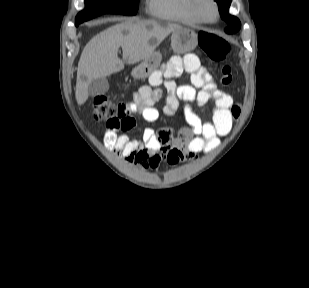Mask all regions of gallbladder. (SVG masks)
<instances>
[{
    "mask_svg": "<svg viewBox=\"0 0 309 288\" xmlns=\"http://www.w3.org/2000/svg\"><path fill=\"white\" fill-rule=\"evenodd\" d=\"M109 89V83L106 77L94 79L88 86V94L90 96H97L104 94Z\"/></svg>",
    "mask_w": 309,
    "mask_h": 288,
    "instance_id": "obj_1",
    "label": "gallbladder"
}]
</instances>
